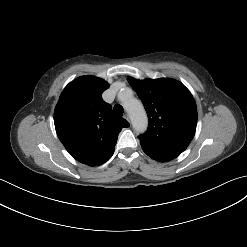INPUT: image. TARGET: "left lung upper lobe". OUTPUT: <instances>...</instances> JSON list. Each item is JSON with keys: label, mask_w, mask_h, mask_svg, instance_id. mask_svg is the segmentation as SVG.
I'll return each mask as SVG.
<instances>
[{"label": "left lung upper lobe", "mask_w": 247, "mask_h": 247, "mask_svg": "<svg viewBox=\"0 0 247 247\" xmlns=\"http://www.w3.org/2000/svg\"><path fill=\"white\" fill-rule=\"evenodd\" d=\"M128 82L141 99L149 119L146 133L138 138L156 148L182 153L194 137L197 107L190 91L168 78Z\"/></svg>", "instance_id": "obj_1"}]
</instances>
